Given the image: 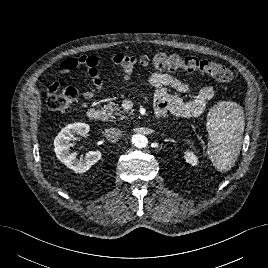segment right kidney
Segmentation results:
<instances>
[{
	"label": "right kidney",
	"mask_w": 268,
	"mask_h": 268,
	"mask_svg": "<svg viewBox=\"0 0 268 268\" xmlns=\"http://www.w3.org/2000/svg\"><path fill=\"white\" fill-rule=\"evenodd\" d=\"M89 130V125L85 123L78 122L69 124L59 132L54 140V151L57 158L76 173L88 171L102 156L101 152L97 150L89 151L84 158L78 159L76 157L77 153L70 152V140H72L75 135H86Z\"/></svg>",
	"instance_id": "ca27d5eb"
}]
</instances>
